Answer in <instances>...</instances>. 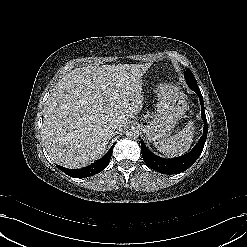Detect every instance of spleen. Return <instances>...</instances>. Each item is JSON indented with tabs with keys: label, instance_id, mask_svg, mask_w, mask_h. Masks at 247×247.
Here are the masks:
<instances>
[{
	"label": "spleen",
	"instance_id": "spleen-1",
	"mask_svg": "<svg viewBox=\"0 0 247 247\" xmlns=\"http://www.w3.org/2000/svg\"><path fill=\"white\" fill-rule=\"evenodd\" d=\"M194 136V123L189 121L187 125L177 134L159 142L154 143L159 152L166 156H180L190 149Z\"/></svg>",
	"mask_w": 247,
	"mask_h": 247
}]
</instances>
